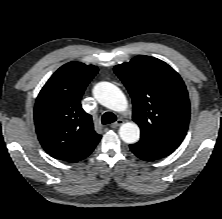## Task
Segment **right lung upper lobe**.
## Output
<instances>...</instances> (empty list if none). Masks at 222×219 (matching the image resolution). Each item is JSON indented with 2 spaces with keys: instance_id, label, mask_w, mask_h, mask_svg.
<instances>
[{
  "instance_id": "1",
  "label": "right lung upper lobe",
  "mask_w": 222,
  "mask_h": 219,
  "mask_svg": "<svg viewBox=\"0 0 222 219\" xmlns=\"http://www.w3.org/2000/svg\"><path fill=\"white\" fill-rule=\"evenodd\" d=\"M98 68L81 62L60 67L40 91L34 108V121L43 149L52 157L78 162L98 144L92 117L80 104L84 90Z\"/></svg>"
}]
</instances>
